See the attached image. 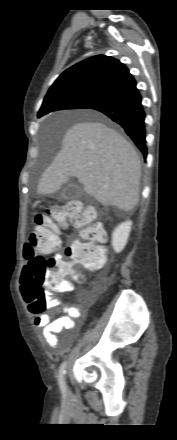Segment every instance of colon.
Here are the masks:
<instances>
[{
  "label": "colon",
  "mask_w": 177,
  "mask_h": 440,
  "mask_svg": "<svg viewBox=\"0 0 177 440\" xmlns=\"http://www.w3.org/2000/svg\"><path fill=\"white\" fill-rule=\"evenodd\" d=\"M95 211L83 209L78 201H70L63 206H55L45 214L35 217V225L27 237L23 255L27 260L21 278V292L31 310L41 314L44 308L46 289L61 291L70 283L83 280L79 270L81 265L89 269L100 268L105 259L102 227L94 223ZM73 228L78 237L67 247L64 254L45 257L60 245L59 230Z\"/></svg>",
  "instance_id": "5ec220e1"
}]
</instances>
